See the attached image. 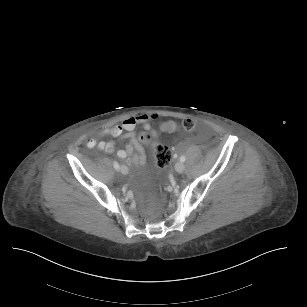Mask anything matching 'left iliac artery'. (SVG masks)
<instances>
[{
  "label": "left iliac artery",
  "instance_id": "44dca946",
  "mask_svg": "<svg viewBox=\"0 0 307 307\" xmlns=\"http://www.w3.org/2000/svg\"><path fill=\"white\" fill-rule=\"evenodd\" d=\"M185 160H186V157H185L184 155H182V156L180 157V161H181V162H185Z\"/></svg>",
  "mask_w": 307,
  "mask_h": 307
}]
</instances>
